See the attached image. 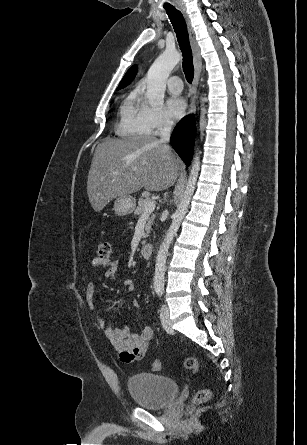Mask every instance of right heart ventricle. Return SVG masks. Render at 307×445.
Masks as SVG:
<instances>
[{"instance_id":"1","label":"right heart ventricle","mask_w":307,"mask_h":445,"mask_svg":"<svg viewBox=\"0 0 307 445\" xmlns=\"http://www.w3.org/2000/svg\"><path fill=\"white\" fill-rule=\"evenodd\" d=\"M148 98L139 88L129 89L123 96L120 121L116 128V133L126 136L136 133H145L146 130L141 121V115Z\"/></svg>"}]
</instances>
